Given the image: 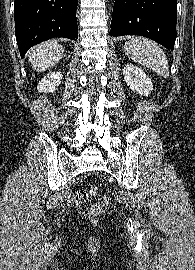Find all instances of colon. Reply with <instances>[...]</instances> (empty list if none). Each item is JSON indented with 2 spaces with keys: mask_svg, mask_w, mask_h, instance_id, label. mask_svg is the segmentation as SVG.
Segmentation results:
<instances>
[{
  "mask_svg": "<svg viewBox=\"0 0 195 270\" xmlns=\"http://www.w3.org/2000/svg\"><path fill=\"white\" fill-rule=\"evenodd\" d=\"M97 192H98V189L96 186H90L87 189L78 190L73 196V202L76 204H82L86 200V197L88 195H96ZM110 201H111V199L108 195H104L101 198V202L103 205L109 204ZM101 212H102V205H100V204L92 205L89 208V215L92 217L100 215Z\"/></svg>",
  "mask_w": 195,
  "mask_h": 270,
  "instance_id": "colon-1",
  "label": "colon"
}]
</instances>
